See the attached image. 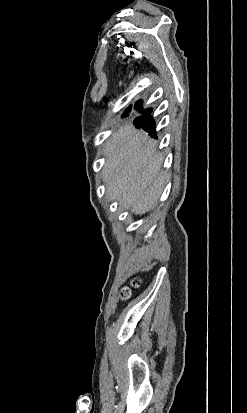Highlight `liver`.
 <instances>
[{"mask_svg": "<svg viewBox=\"0 0 247 413\" xmlns=\"http://www.w3.org/2000/svg\"><path fill=\"white\" fill-rule=\"evenodd\" d=\"M104 154L102 178L109 198L119 200L123 209L135 215L154 209L166 178L156 140L145 130L124 124L107 140Z\"/></svg>", "mask_w": 247, "mask_h": 413, "instance_id": "liver-1", "label": "liver"}]
</instances>
